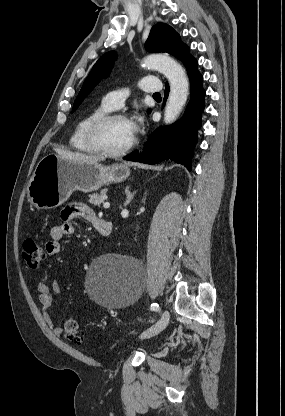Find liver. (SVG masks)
Wrapping results in <instances>:
<instances>
[{
	"label": "liver",
	"instance_id": "6515ba94",
	"mask_svg": "<svg viewBox=\"0 0 285 416\" xmlns=\"http://www.w3.org/2000/svg\"><path fill=\"white\" fill-rule=\"evenodd\" d=\"M58 156L65 158V160H74V162H103V158H95V156H88V154H82V152H67V150H60V148H54Z\"/></svg>",
	"mask_w": 285,
	"mask_h": 416
}]
</instances>
